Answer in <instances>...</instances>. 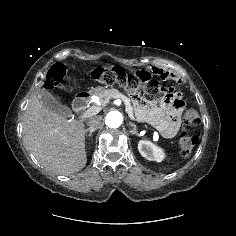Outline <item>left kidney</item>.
I'll list each match as a JSON object with an SVG mask.
<instances>
[{
  "label": "left kidney",
  "mask_w": 236,
  "mask_h": 236,
  "mask_svg": "<svg viewBox=\"0 0 236 236\" xmlns=\"http://www.w3.org/2000/svg\"><path fill=\"white\" fill-rule=\"evenodd\" d=\"M138 150L144 158L150 161L161 162L165 157L163 150L150 141H139Z\"/></svg>",
  "instance_id": "obj_1"
}]
</instances>
